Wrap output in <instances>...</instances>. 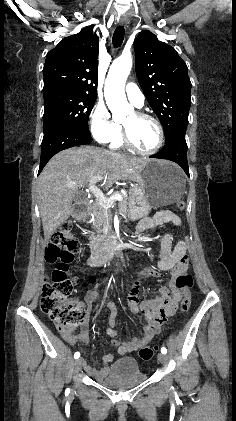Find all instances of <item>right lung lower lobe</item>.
Here are the masks:
<instances>
[{
  "mask_svg": "<svg viewBox=\"0 0 236 421\" xmlns=\"http://www.w3.org/2000/svg\"><path fill=\"white\" fill-rule=\"evenodd\" d=\"M91 141V136L70 129L58 128L52 130L44 135L42 140L39 173L56 153L70 147L89 144Z\"/></svg>",
  "mask_w": 236,
  "mask_h": 421,
  "instance_id": "1",
  "label": "right lung lower lobe"
}]
</instances>
